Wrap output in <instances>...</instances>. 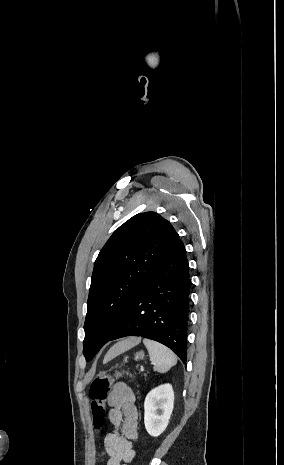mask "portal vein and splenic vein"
Segmentation results:
<instances>
[{
  "instance_id": "1",
  "label": "portal vein and splenic vein",
  "mask_w": 284,
  "mask_h": 465,
  "mask_svg": "<svg viewBox=\"0 0 284 465\" xmlns=\"http://www.w3.org/2000/svg\"><path fill=\"white\" fill-rule=\"evenodd\" d=\"M151 365H155V363H151Z\"/></svg>"
}]
</instances>
